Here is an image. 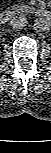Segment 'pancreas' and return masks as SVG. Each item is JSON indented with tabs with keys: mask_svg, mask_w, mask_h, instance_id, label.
<instances>
[{
	"mask_svg": "<svg viewBox=\"0 0 51 153\" xmlns=\"http://www.w3.org/2000/svg\"><path fill=\"white\" fill-rule=\"evenodd\" d=\"M12 9L15 13H28L32 10L31 7L27 6V5H24V4H21V5H13L12 6Z\"/></svg>",
	"mask_w": 51,
	"mask_h": 153,
	"instance_id": "pancreas-1",
	"label": "pancreas"
}]
</instances>
